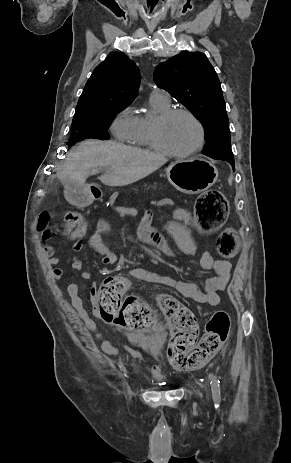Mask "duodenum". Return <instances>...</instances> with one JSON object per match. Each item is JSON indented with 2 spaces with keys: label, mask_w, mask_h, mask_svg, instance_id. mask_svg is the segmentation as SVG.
Segmentation results:
<instances>
[{
  "label": "duodenum",
  "mask_w": 291,
  "mask_h": 463,
  "mask_svg": "<svg viewBox=\"0 0 291 463\" xmlns=\"http://www.w3.org/2000/svg\"><path fill=\"white\" fill-rule=\"evenodd\" d=\"M91 197L95 200H98L102 197V192L101 190L97 189V188H93L91 190ZM159 247V246H158Z\"/></svg>",
  "instance_id": "1"
}]
</instances>
